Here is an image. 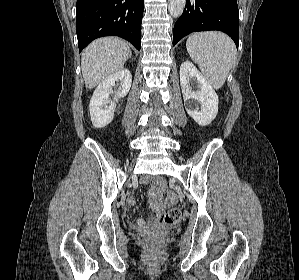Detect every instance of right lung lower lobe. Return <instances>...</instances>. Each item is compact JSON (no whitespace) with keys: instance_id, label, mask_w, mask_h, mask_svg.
<instances>
[{"instance_id":"1","label":"right lung lower lobe","mask_w":299,"mask_h":280,"mask_svg":"<svg viewBox=\"0 0 299 280\" xmlns=\"http://www.w3.org/2000/svg\"><path fill=\"white\" fill-rule=\"evenodd\" d=\"M144 0H77L80 52L94 39L119 36L140 50Z\"/></svg>"}]
</instances>
